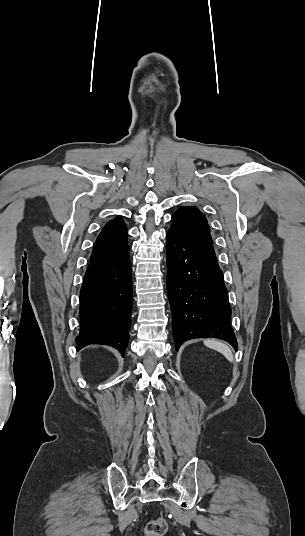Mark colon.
Returning <instances> with one entry per match:
<instances>
[{
  "instance_id": "5ec220e1",
  "label": "colon",
  "mask_w": 305,
  "mask_h": 536,
  "mask_svg": "<svg viewBox=\"0 0 305 536\" xmlns=\"http://www.w3.org/2000/svg\"><path fill=\"white\" fill-rule=\"evenodd\" d=\"M167 523L164 518L159 517L148 523L145 529V536H164Z\"/></svg>"
}]
</instances>
